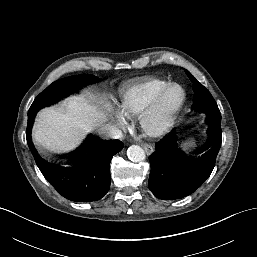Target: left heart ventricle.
I'll return each instance as SVG.
<instances>
[{"label":"left heart ventricle","instance_id":"b2bd125f","mask_svg":"<svg viewBox=\"0 0 257 257\" xmlns=\"http://www.w3.org/2000/svg\"><path fill=\"white\" fill-rule=\"evenodd\" d=\"M181 98V90L178 87H173L169 89L164 97V106L166 108L172 107Z\"/></svg>","mask_w":257,"mask_h":257}]
</instances>
